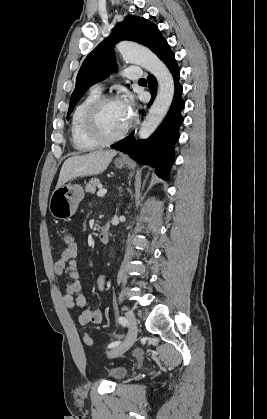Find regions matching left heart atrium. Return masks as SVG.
<instances>
[{"label":"left heart atrium","mask_w":267,"mask_h":419,"mask_svg":"<svg viewBox=\"0 0 267 419\" xmlns=\"http://www.w3.org/2000/svg\"><path fill=\"white\" fill-rule=\"evenodd\" d=\"M121 103L124 107L125 112L131 118L132 112H133V100H132V98L131 97H125L123 100H121Z\"/></svg>","instance_id":"obj_1"}]
</instances>
